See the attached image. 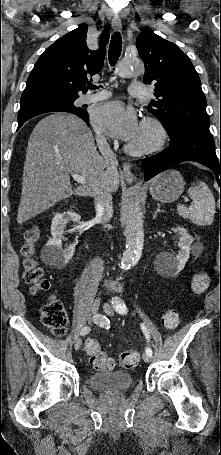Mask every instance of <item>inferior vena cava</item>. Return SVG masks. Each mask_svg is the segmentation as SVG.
I'll use <instances>...</instances> for the list:
<instances>
[{"instance_id":"602c4592","label":"inferior vena cava","mask_w":221,"mask_h":455,"mask_svg":"<svg viewBox=\"0 0 221 455\" xmlns=\"http://www.w3.org/2000/svg\"><path fill=\"white\" fill-rule=\"evenodd\" d=\"M99 150L105 160L106 165L109 169H116L118 165L116 156L111 150L107 140L103 136H98L96 138ZM94 203L97 215L99 216L101 223L106 224L113 214V203L111 192L107 190H97L94 195Z\"/></svg>"}]
</instances>
